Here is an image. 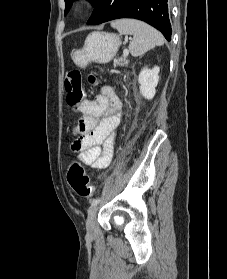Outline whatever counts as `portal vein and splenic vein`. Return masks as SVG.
<instances>
[{
  "label": "portal vein and splenic vein",
  "mask_w": 227,
  "mask_h": 279,
  "mask_svg": "<svg viewBox=\"0 0 227 279\" xmlns=\"http://www.w3.org/2000/svg\"><path fill=\"white\" fill-rule=\"evenodd\" d=\"M123 55H124L125 57H127V56L129 55V51H128L127 49H124V50H123Z\"/></svg>",
  "instance_id": "1"
}]
</instances>
